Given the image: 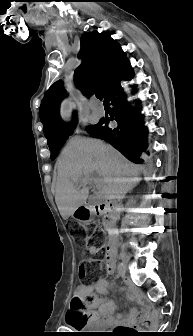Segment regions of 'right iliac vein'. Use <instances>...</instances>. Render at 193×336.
Returning <instances> with one entry per match:
<instances>
[{
  "instance_id": "63e3f726",
  "label": "right iliac vein",
  "mask_w": 193,
  "mask_h": 336,
  "mask_svg": "<svg viewBox=\"0 0 193 336\" xmlns=\"http://www.w3.org/2000/svg\"><path fill=\"white\" fill-rule=\"evenodd\" d=\"M128 266H129V258L127 256H123L122 257V268H121V275H124L126 273V271L128 270Z\"/></svg>"
}]
</instances>
